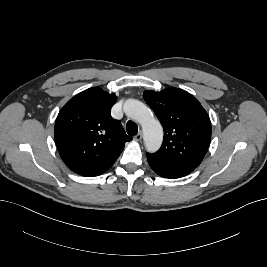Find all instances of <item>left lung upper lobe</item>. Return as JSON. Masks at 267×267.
I'll use <instances>...</instances> for the list:
<instances>
[{
    "label": "left lung upper lobe",
    "instance_id": "1",
    "mask_svg": "<svg viewBox=\"0 0 267 267\" xmlns=\"http://www.w3.org/2000/svg\"><path fill=\"white\" fill-rule=\"evenodd\" d=\"M164 128L161 148L147 158L167 165L195 169L211 140V122L201 104L188 92L170 88L143 93Z\"/></svg>",
    "mask_w": 267,
    "mask_h": 267
}]
</instances>
